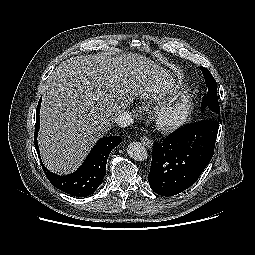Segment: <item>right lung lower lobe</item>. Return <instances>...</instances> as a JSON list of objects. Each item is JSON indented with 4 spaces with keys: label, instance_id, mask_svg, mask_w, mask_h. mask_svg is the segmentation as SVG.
I'll use <instances>...</instances> for the list:
<instances>
[{
    "label": "right lung lower lobe",
    "instance_id": "obj_1",
    "mask_svg": "<svg viewBox=\"0 0 255 255\" xmlns=\"http://www.w3.org/2000/svg\"><path fill=\"white\" fill-rule=\"evenodd\" d=\"M40 106L41 99L36 109V126L34 144L39 155L37 134L40 126ZM122 141L119 136H109L101 138L92 148L83 164L74 173L67 176H59L50 172L43 164L42 168L47 178L53 186L63 192L76 197H86L91 195L102 183L106 174L107 158L112 149Z\"/></svg>",
    "mask_w": 255,
    "mask_h": 255
}]
</instances>
